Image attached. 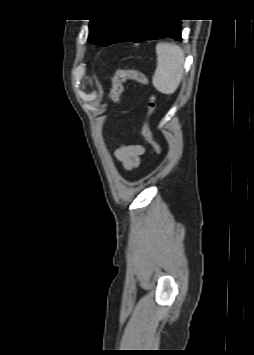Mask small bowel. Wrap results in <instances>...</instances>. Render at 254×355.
I'll return each instance as SVG.
<instances>
[{
    "label": "small bowel",
    "instance_id": "obj_1",
    "mask_svg": "<svg viewBox=\"0 0 254 355\" xmlns=\"http://www.w3.org/2000/svg\"><path fill=\"white\" fill-rule=\"evenodd\" d=\"M144 154L145 148L140 144H124L115 150L116 159L123 165L126 171L137 168Z\"/></svg>",
    "mask_w": 254,
    "mask_h": 355
}]
</instances>
